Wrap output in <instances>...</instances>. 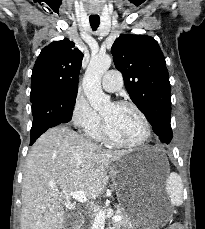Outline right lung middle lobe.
Wrapping results in <instances>:
<instances>
[{"label": "right lung middle lobe", "mask_w": 205, "mask_h": 229, "mask_svg": "<svg viewBox=\"0 0 205 229\" xmlns=\"http://www.w3.org/2000/svg\"><path fill=\"white\" fill-rule=\"evenodd\" d=\"M67 94H69L71 97H73L74 99H76L77 96V89H71L67 92ZM43 97V96H42ZM33 102V101H31Z\"/></svg>", "instance_id": "dd1d6c3e"}]
</instances>
